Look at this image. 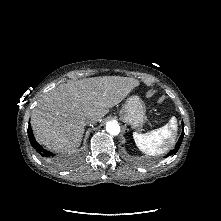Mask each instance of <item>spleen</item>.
Here are the masks:
<instances>
[{"label": "spleen", "mask_w": 221, "mask_h": 221, "mask_svg": "<svg viewBox=\"0 0 221 221\" xmlns=\"http://www.w3.org/2000/svg\"><path fill=\"white\" fill-rule=\"evenodd\" d=\"M176 132L177 120L172 117L163 127L145 134L135 132L133 137L140 151L150 156H156L163 154L173 145Z\"/></svg>", "instance_id": "3e777b00"}]
</instances>
